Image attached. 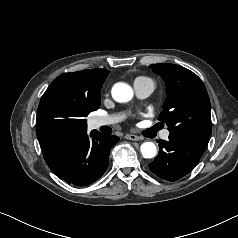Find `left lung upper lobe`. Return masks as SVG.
<instances>
[{
  "mask_svg": "<svg viewBox=\"0 0 238 238\" xmlns=\"http://www.w3.org/2000/svg\"><path fill=\"white\" fill-rule=\"evenodd\" d=\"M153 71L166 83L167 98L158 119L171 133L208 142L212 132L210 100L202 80L175 64H153Z\"/></svg>",
  "mask_w": 238,
  "mask_h": 238,
  "instance_id": "obj_1",
  "label": "left lung upper lobe"
}]
</instances>
